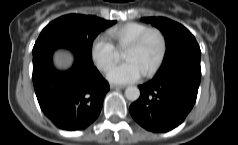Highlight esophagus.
Listing matches in <instances>:
<instances>
[{"label": "esophagus", "mask_w": 238, "mask_h": 145, "mask_svg": "<svg viewBox=\"0 0 238 145\" xmlns=\"http://www.w3.org/2000/svg\"><path fill=\"white\" fill-rule=\"evenodd\" d=\"M110 88H111V89H124L125 86H123V85L111 84V85H110Z\"/></svg>", "instance_id": "1"}]
</instances>
